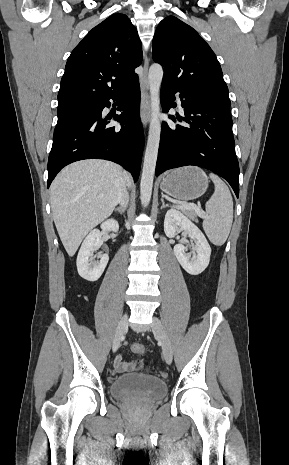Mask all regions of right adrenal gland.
I'll use <instances>...</instances> for the list:
<instances>
[{"label": "right adrenal gland", "mask_w": 289, "mask_h": 465, "mask_svg": "<svg viewBox=\"0 0 289 465\" xmlns=\"http://www.w3.org/2000/svg\"><path fill=\"white\" fill-rule=\"evenodd\" d=\"M124 210H125L124 208H123V209H122V208H116V209H115V212H117V213H119L120 215H122V214L124 213Z\"/></svg>", "instance_id": "2a0ac1e0"}]
</instances>
